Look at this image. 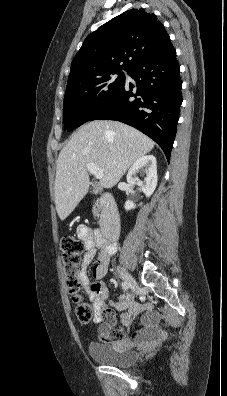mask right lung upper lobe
<instances>
[{
    "mask_svg": "<svg viewBox=\"0 0 227 396\" xmlns=\"http://www.w3.org/2000/svg\"><path fill=\"white\" fill-rule=\"evenodd\" d=\"M168 42L170 37L155 14L125 11L87 36L72 61L67 87L111 71H128Z\"/></svg>",
    "mask_w": 227,
    "mask_h": 396,
    "instance_id": "1",
    "label": "right lung upper lobe"
}]
</instances>
